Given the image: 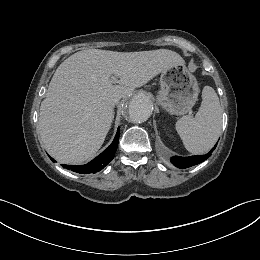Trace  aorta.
<instances>
[{"label":"aorta","mask_w":260,"mask_h":260,"mask_svg":"<svg viewBox=\"0 0 260 260\" xmlns=\"http://www.w3.org/2000/svg\"><path fill=\"white\" fill-rule=\"evenodd\" d=\"M152 110L153 105L148 96H134L128 107L129 121L136 125L142 124L149 119Z\"/></svg>","instance_id":"obj_1"}]
</instances>
